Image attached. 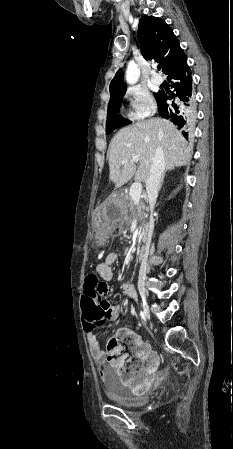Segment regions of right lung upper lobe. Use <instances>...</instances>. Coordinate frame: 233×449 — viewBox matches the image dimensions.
Instances as JSON below:
<instances>
[{
    "mask_svg": "<svg viewBox=\"0 0 233 449\" xmlns=\"http://www.w3.org/2000/svg\"><path fill=\"white\" fill-rule=\"evenodd\" d=\"M138 40L142 55L146 60L157 59L162 63L163 71L169 74L186 61V55L179 45L172 28L161 18L144 16L139 22ZM110 97L125 93L122 70L119 69L110 83Z\"/></svg>",
    "mask_w": 233,
    "mask_h": 449,
    "instance_id": "cb5924a9",
    "label": "right lung upper lobe"
}]
</instances>
